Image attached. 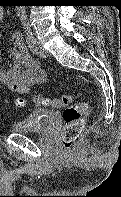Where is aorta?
<instances>
[{
	"mask_svg": "<svg viewBox=\"0 0 121 197\" xmlns=\"http://www.w3.org/2000/svg\"><path fill=\"white\" fill-rule=\"evenodd\" d=\"M18 11L21 13V15H22L23 18L26 17V16H25V8H24V7H20V8L18 9Z\"/></svg>",
	"mask_w": 121,
	"mask_h": 197,
	"instance_id": "762f6f07",
	"label": "aorta"
}]
</instances>
